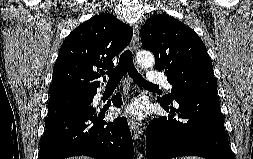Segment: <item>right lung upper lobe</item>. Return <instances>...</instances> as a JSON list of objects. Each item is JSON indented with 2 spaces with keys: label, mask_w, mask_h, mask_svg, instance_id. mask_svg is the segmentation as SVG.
Listing matches in <instances>:
<instances>
[{
  "label": "right lung upper lobe",
  "mask_w": 253,
  "mask_h": 159,
  "mask_svg": "<svg viewBox=\"0 0 253 159\" xmlns=\"http://www.w3.org/2000/svg\"><path fill=\"white\" fill-rule=\"evenodd\" d=\"M133 30L102 13L74 29L63 42L53 69L50 100L96 93L99 73L131 41ZM101 73V72H100Z\"/></svg>",
  "instance_id": "cb5924a9"
}]
</instances>
